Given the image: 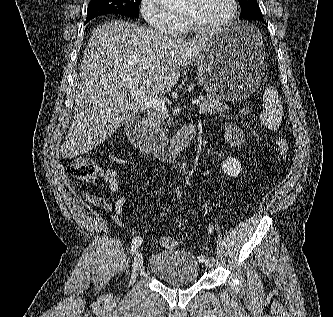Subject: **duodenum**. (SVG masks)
Returning a JSON list of instances; mask_svg holds the SVG:
<instances>
[{
    "mask_svg": "<svg viewBox=\"0 0 333 317\" xmlns=\"http://www.w3.org/2000/svg\"><path fill=\"white\" fill-rule=\"evenodd\" d=\"M126 131L129 139L141 150L152 153L163 162L174 161L185 149H187L197 135V127L189 123L180 130L173 139L157 136L146 128L139 119H131L127 122Z\"/></svg>",
    "mask_w": 333,
    "mask_h": 317,
    "instance_id": "1",
    "label": "duodenum"
}]
</instances>
